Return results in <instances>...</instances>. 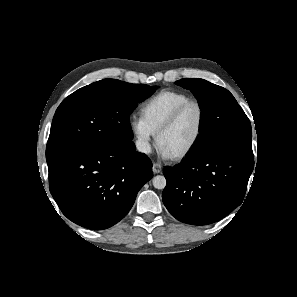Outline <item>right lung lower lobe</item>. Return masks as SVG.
<instances>
[{
    "instance_id": "1",
    "label": "right lung lower lobe",
    "mask_w": 297,
    "mask_h": 297,
    "mask_svg": "<svg viewBox=\"0 0 297 297\" xmlns=\"http://www.w3.org/2000/svg\"><path fill=\"white\" fill-rule=\"evenodd\" d=\"M49 188L63 214L93 230L109 228L131 209L152 178V162L133 141L69 150L48 163Z\"/></svg>"
}]
</instances>
